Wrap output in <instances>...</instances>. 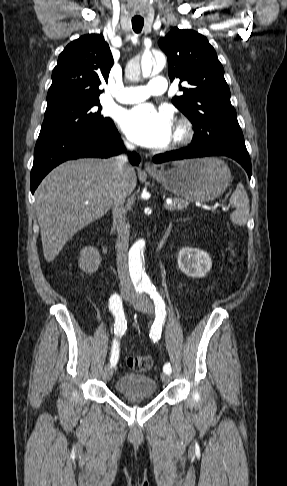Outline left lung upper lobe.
<instances>
[{
    "label": "left lung upper lobe",
    "mask_w": 287,
    "mask_h": 486,
    "mask_svg": "<svg viewBox=\"0 0 287 486\" xmlns=\"http://www.w3.org/2000/svg\"><path fill=\"white\" fill-rule=\"evenodd\" d=\"M168 57L170 80L179 78L188 87L172 103L191 121L192 143L246 149L237 114L230 102L224 69L206 37L177 27L159 40Z\"/></svg>",
    "instance_id": "5c2ea615"
}]
</instances>
